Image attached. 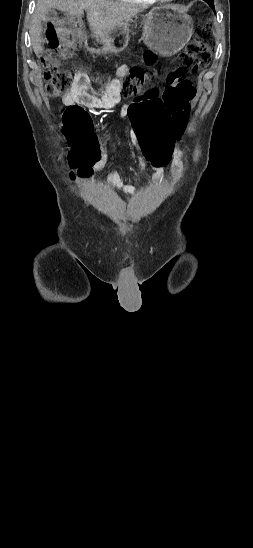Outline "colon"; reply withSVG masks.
Here are the masks:
<instances>
[{
    "label": "colon",
    "instance_id": "5ec220e1",
    "mask_svg": "<svg viewBox=\"0 0 253 548\" xmlns=\"http://www.w3.org/2000/svg\"><path fill=\"white\" fill-rule=\"evenodd\" d=\"M46 50L42 63L45 69V93L50 97L66 95L73 85L72 73L63 68V61L72 55L73 48L67 38L61 44L57 35ZM69 39V38H68ZM212 38L207 25L199 27L196 37L177 56L176 62L167 61L166 71L157 88L139 93L147 76L139 68L120 77V94L129 107L127 124L139 143L141 156L150 160L151 166H167L171 159L172 145L176 137H182L195 96L192 79L186 72H198L211 57ZM147 61L151 55L145 56ZM109 82L108 78L102 79ZM169 96V97H168ZM63 122L70 142L69 163L78 175H87L100 156V146L91 126L88 113L78 105L67 106L63 111Z\"/></svg>",
    "mask_w": 253,
    "mask_h": 548
}]
</instances>
